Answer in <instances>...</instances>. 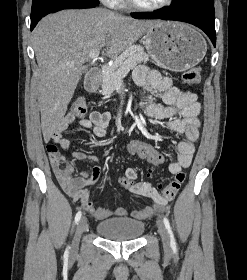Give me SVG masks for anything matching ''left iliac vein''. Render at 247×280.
<instances>
[{
	"mask_svg": "<svg viewBox=\"0 0 247 280\" xmlns=\"http://www.w3.org/2000/svg\"><path fill=\"white\" fill-rule=\"evenodd\" d=\"M157 226H158V231L160 233L165 250L170 251V247H171L170 236H169V233H168L166 227L160 220L157 221Z\"/></svg>",
	"mask_w": 247,
	"mask_h": 280,
	"instance_id": "obj_1",
	"label": "left iliac vein"
}]
</instances>
